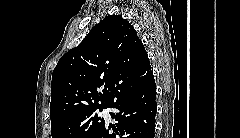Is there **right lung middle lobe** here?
<instances>
[{"label": "right lung middle lobe", "instance_id": "1", "mask_svg": "<svg viewBox=\"0 0 240 138\" xmlns=\"http://www.w3.org/2000/svg\"><path fill=\"white\" fill-rule=\"evenodd\" d=\"M107 107L88 108L77 115L51 124L52 138H94L105 124L104 119L95 114Z\"/></svg>", "mask_w": 240, "mask_h": 138}]
</instances>
